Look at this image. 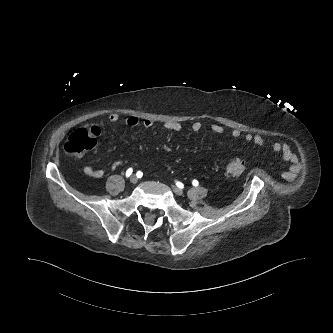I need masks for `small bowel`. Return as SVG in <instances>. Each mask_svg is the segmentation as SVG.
<instances>
[{"instance_id": "obj_1", "label": "small bowel", "mask_w": 333, "mask_h": 333, "mask_svg": "<svg viewBox=\"0 0 333 333\" xmlns=\"http://www.w3.org/2000/svg\"><path fill=\"white\" fill-rule=\"evenodd\" d=\"M120 120V116L117 113H113L109 116V121L112 123H117ZM125 124L128 127H136L141 124L145 129H150L153 127L154 122L151 119H144L140 121V119L136 116H130L125 120ZM203 127V124L200 120H196L191 125V131L194 133L199 132ZM164 128L170 132H178L182 129V125L178 122L169 121L164 124ZM211 130L215 134H222L224 132V128L221 125L213 124L211 126ZM232 137L239 138L241 136V131L238 129H234L231 132ZM245 141L253 142L258 146L264 145V139L259 135H252L250 133L245 134ZM272 149L274 152L281 154L283 160L288 164V170L285 172L287 177H293L299 170V160L297 155L292 151L291 147L286 142H275L272 145ZM83 172L92 178H101L104 176L105 172L103 169L94 168L90 165L83 166Z\"/></svg>"}]
</instances>
